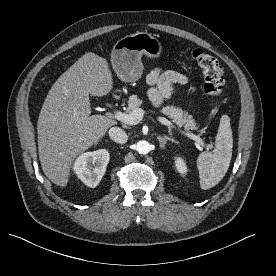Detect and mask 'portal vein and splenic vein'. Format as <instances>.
Instances as JSON below:
<instances>
[{
	"label": "portal vein and splenic vein",
	"mask_w": 276,
	"mask_h": 276,
	"mask_svg": "<svg viewBox=\"0 0 276 276\" xmlns=\"http://www.w3.org/2000/svg\"><path fill=\"white\" fill-rule=\"evenodd\" d=\"M144 114H145V111L141 108H137L130 113H125V112H121V111L114 112V115L117 120H120L121 122L128 124V125L138 124L142 120ZM157 120L167 127H173L172 123L169 120H167L165 117L157 116ZM183 134H185L190 139L196 141L199 145H201L202 147H204L208 150L213 148L212 143H210V144L205 143L203 139H201L199 136H197L193 133L183 131Z\"/></svg>",
	"instance_id": "obj_1"
}]
</instances>
